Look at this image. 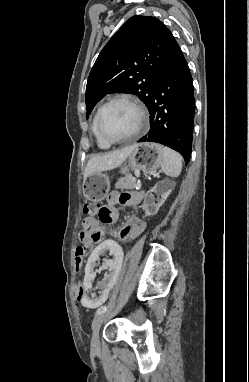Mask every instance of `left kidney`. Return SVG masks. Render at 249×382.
<instances>
[{
    "label": "left kidney",
    "instance_id": "5707ae66",
    "mask_svg": "<svg viewBox=\"0 0 249 382\" xmlns=\"http://www.w3.org/2000/svg\"><path fill=\"white\" fill-rule=\"evenodd\" d=\"M175 186L176 183L170 179H164L153 185L145 201L142 202V207L155 208L157 212ZM101 244L92 250L81 278L84 294L80 296L79 304L82 309L104 307L105 299L112 292V287H117L118 284L115 277L121 273L125 255L123 245H118L117 240H103ZM103 257H112L113 260L101 262ZM101 273H104L103 280H99ZM94 281L96 289L93 291Z\"/></svg>",
    "mask_w": 249,
    "mask_h": 382
}]
</instances>
